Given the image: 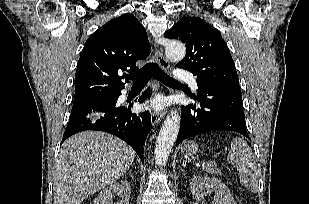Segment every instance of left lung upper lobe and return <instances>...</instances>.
Here are the masks:
<instances>
[{"instance_id": "1", "label": "left lung upper lobe", "mask_w": 309, "mask_h": 204, "mask_svg": "<svg viewBox=\"0 0 309 204\" xmlns=\"http://www.w3.org/2000/svg\"><path fill=\"white\" fill-rule=\"evenodd\" d=\"M165 37L186 44V55L176 66L192 72L196 81L239 87L234 61L220 33L203 19L183 17Z\"/></svg>"}]
</instances>
